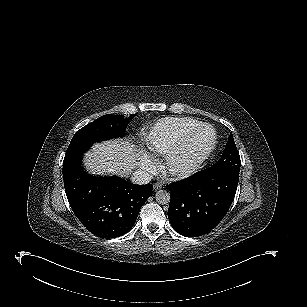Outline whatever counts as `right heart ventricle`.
<instances>
[{"label": "right heart ventricle", "instance_id": "1", "mask_svg": "<svg viewBox=\"0 0 307 307\" xmlns=\"http://www.w3.org/2000/svg\"><path fill=\"white\" fill-rule=\"evenodd\" d=\"M193 128L194 121L191 119L166 118L161 120L148 136L151 151L156 155H166L180 140L192 133Z\"/></svg>", "mask_w": 307, "mask_h": 307}]
</instances>
